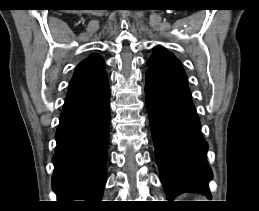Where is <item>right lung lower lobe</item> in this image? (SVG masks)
I'll return each instance as SVG.
<instances>
[{
	"instance_id": "98d812e1",
	"label": "right lung lower lobe",
	"mask_w": 259,
	"mask_h": 211,
	"mask_svg": "<svg viewBox=\"0 0 259 211\" xmlns=\"http://www.w3.org/2000/svg\"><path fill=\"white\" fill-rule=\"evenodd\" d=\"M109 125L108 81L92 94L65 101L52 159V187L59 202L101 199L106 183Z\"/></svg>"
}]
</instances>
